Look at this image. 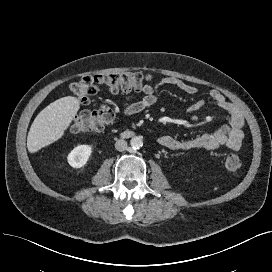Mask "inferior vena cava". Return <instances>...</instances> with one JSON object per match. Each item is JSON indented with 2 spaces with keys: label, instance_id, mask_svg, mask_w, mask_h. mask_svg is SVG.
Instances as JSON below:
<instances>
[{
  "label": "inferior vena cava",
  "instance_id": "1",
  "mask_svg": "<svg viewBox=\"0 0 272 272\" xmlns=\"http://www.w3.org/2000/svg\"><path fill=\"white\" fill-rule=\"evenodd\" d=\"M115 148L118 151H125L127 149V142L124 139H119L115 143Z\"/></svg>",
  "mask_w": 272,
  "mask_h": 272
}]
</instances>
